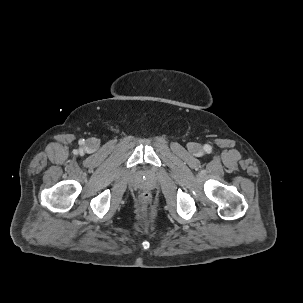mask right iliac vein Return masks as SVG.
Listing matches in <instances>:
<instances>
[{"instance_id": "1", "label": "right iliac vein", "mask_w": 303, "mask_h": 303, "mask_svg": "<svg viewBox=\"0 0 303 303\" xmlns=\"http://www.w3.org/2000/svg\"><path fill=\"white\" fill-rule=\"evenodd\" d=\"M88 145L91 147V148H96L97 147V141L95 140H91L88 142Z\"/></svg>"}]
</instances>
